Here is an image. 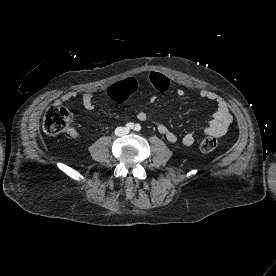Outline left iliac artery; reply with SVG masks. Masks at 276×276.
Masks as SVG:
<instances>
[{
  "label": "left iliac artery",
  "mask_w": 276,
  "mask_h": 276,
  "mask_svg": "<svg viewBox=\"0 0 276 276\" xmlns=\"http://www.w3.org/2000/svg\"><path fill=\"white\" fill-rule=\"evenodd\" d=\"M135 130H136V131H140V130H141V126H140L139 124H136V125H135Z\"/></svg>",
  "instance_id": "obj_1"
}]
</instances>
